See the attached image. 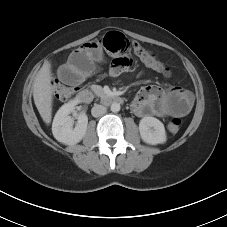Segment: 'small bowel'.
<instances>
[{
  "instance_id": "1",
  "label": "small bowel",
  "mask_w": 227,
  "mask_h": 227,
  "mask_svg": "<svg viewBox=\"0 0 227 227\" xmlns=\"http://www.w3.org/2000/svg\"><path fill=\"white\" fill-rule=\"evenodd\" d=\"M104 58L103 47L97 41L83 43L79 50L71 54L67 62L57 69V78L64 86L81 85L98 71L97 62ZM133 65L128 57L116 58L111 63L110 74L120 76ZM193 98L190 92L181 87L164 90L157 85L142 87L137 93L132 108L139 117L184 116L192 108Z\"/></svg>"
}]
</instances>
